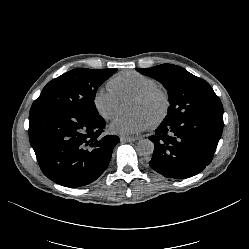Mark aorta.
Returning <instances> with one entry per match:
<instances>
[{
	"label": "aorta",
	"instance_id": "aorta-1",
	"mask_svg": "<svg viewBox=\"0 0 249 249\" xmlns=\"http://www.w3.org/2000/svg\"><path fill=\"white\" fill-rule=\"evenodd\" d=\"M154 151V144L149 139H141L137 144V152L142 156H149Z\"/></svg>",
	"mask_w": 249,
	"mask_h": 249
}]
</instances>
